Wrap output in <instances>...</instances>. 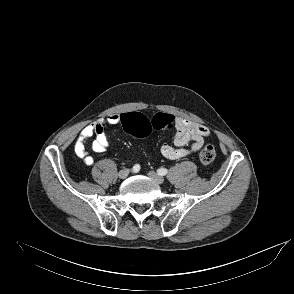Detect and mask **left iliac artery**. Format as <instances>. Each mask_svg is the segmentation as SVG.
I'll use <instances>...</instances> for the list:
<instances>
[{"label": "left iliac artery", "mask_w": 294, "mask_h": 294, "mask_svg": "<svg viewBox=\"0 0 294 294\" xmlns=\"http://www.w3.org/2000/svg\"><path fill=\"white\" fill-rule=\"evenodd\" d=\"M167 172H168V171H167V169H165V168H160V169L157 170V173H158L159 175H161V176L166 175Z\"/></svg>", "instance_id": "left-iliac-artery-1"}]
</instances>
